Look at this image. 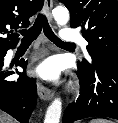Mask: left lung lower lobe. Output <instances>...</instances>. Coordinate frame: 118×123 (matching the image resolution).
<instances>
[{
  "mask_svg": "<svg viewBox=\"0 0 118 123\" xmlns=\"http://www.w3.org/2000/svg\"><path fill=\"white\" fill-rule=\"evenodd\" d=\"M78 69L81 95L66 108L62 123L95 116L118 119V62L101 60L91 70Z\"/></svg>",
  "mask_w": 118,
  "mask_h": 123,
  "instance_id": "left-lung-lower-lobe-1",
  "label": "left lung lower lobe"
}]
</instances>
